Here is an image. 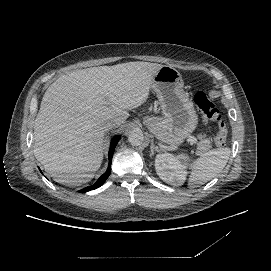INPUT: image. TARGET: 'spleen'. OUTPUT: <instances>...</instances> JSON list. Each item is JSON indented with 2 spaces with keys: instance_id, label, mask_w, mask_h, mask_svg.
I'll use <instances>...</instances> for the list:
<instances>
[{
  "instance_id": "obj_1",
  "label": "spleen",
  "mask_w": 271,
  "mask_h": 271,
  "mask_svg": "<svg viewBox=\"0 0 271 271\" xmlns=\"http://www.w3.org/2000/svg\"><path fill=\"white\" fill-rule=\"evenodd\" d=\"M231 154L229 147H219L193 158L185 151L176 154V161L182 163L189 171L187 185L193 188L203 185L219 174L228 163Z\"/></svg>"
}]
</instances>
